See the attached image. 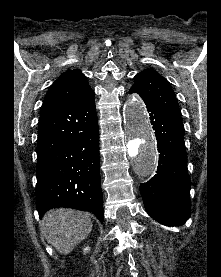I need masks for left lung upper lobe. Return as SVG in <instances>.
Here are the masks:
<instances>
[{"label":"left lung upper lobe","instance_id":"5c2ea615","mask_svg":"<svg viewBox=\"0 0 221 277\" xmlns=\"http://www.w3.org/2000/svg\"><path fill=\"white\" fill-rule=\"evenodd\" d=\"M134 79L135 82L131 89L153 101L169 117L183 126L176 95L164 77L154 70H144L138 73Z\"/></svg>","mask_w":221,"mask_h":277}]
</instances>
